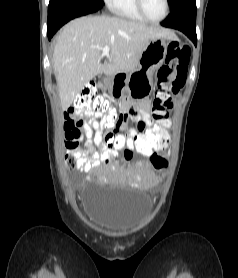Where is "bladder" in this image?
I'll use <instances>...</instances> for the list:
<instances>
[{
	"mask_svg": "<svg viewBox=\"0 0 238 278\" xmlns=\"http://www.w3.org/2000/svg\"><path fill=\"white\" fill-rule=\"evenodd\" d=\"M84 194L88 221L99 230L113 235H128L138 230L151 212V200L138 186H94L90 182Z\"/></svg>",
	"mask_w": 238,
	"mask_h": 278,
	"instance_id": "bladder-1",
	"label": "bladder"
}]
</instances>
